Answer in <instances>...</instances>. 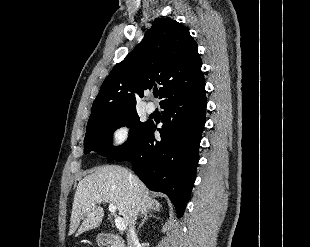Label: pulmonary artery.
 Masks as SVG:
<instances>
[{
	"mask_svg": "<svg viewBox=\"0 0 310 247\" xmlns=\"http://www.w3.org/2000/svg\"><path fill=\"white\" fill-rule=\"evenodd\" d=\"M156 107L155 104L153 102H148L145 105V110L147 113H153L155 111Z\"/></svg>",
	"mask_w": 310,
	"mask_h": 247,
	"instance_id": "pulmonary-artery-1",
	"label": "pulmonary artery"
}]
</instances>
